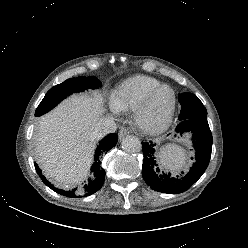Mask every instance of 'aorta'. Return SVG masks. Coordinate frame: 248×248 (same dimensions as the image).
<instances>
[{
	"label": "aorta",
	"mask_w": 248,
	"mask_h": 248,
	"mask_svg": "<svg viewBox=\"0 0 248 248\" xmlns=\"http://www.w3.org/2000/svg\"><path fill=\"white\" fill-rule=\"evenodd\" d=\"M121 144L122 149L128 153H138L142 149L140 140L135 136H127Z\"/></svg>",
	"instance_id": "1"
}]
</instances>
